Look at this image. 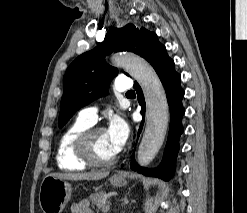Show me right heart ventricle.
I'll list each match as a JSON object with an SVG mask.
<instances>
[{
    "label": "right heart ventricle",
    "mask_w": 247,
    "mask_h": 213,
    "mask_svg": "<svg viewBox=\"0 0 247 213\" xmlns=\"http://www.w3.org/2000/svg\"><path fill=\"white\" fill-rule=\"evenodd\" d=\"M91 123L77 118L61 134L56 151L57 166L65 171H82L87 168L74 153V141L79 133L90 128Z\"/></svg>",
    "instance_id": "e07e8e85"
}]
</instances>
